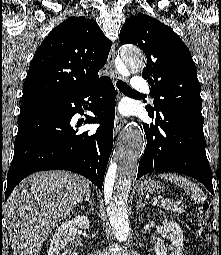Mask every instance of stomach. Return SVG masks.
<instances>
[{
  "instance_id": "1",
  "label": "stomach",
  "mask_w": 221,
  "mask_h": 255,
  "mask_svg": "<svg viewBox=\"0 0 221 255\" xmlns=\"http://www.w3.org/2000/svg\"><path fill=\"white\" fill-rule=\"evenodd\" d=\"M159 189H160L159 182L153 179H144L138 184L137 193L139 195L151 194L153 192L158 191Z\"/></svg>"
}]
</instances>
